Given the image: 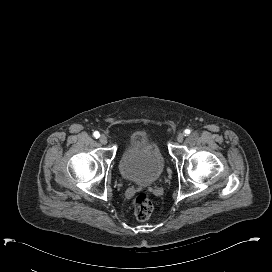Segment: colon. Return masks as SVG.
<instances>
[{
    "label": "colon",
    "mask_w": 272,
    "mask_h": 272,
    "mask_svg": "<svg viewBox=\"0 0 272 272\" xmlns=\"http://www.w3.org/2000/svg\"><path fill=\"white\" fill-rule=\"evenodd\" d=\"M153 207V201L146 192L137 194L133 200L134 214L139 220L148 219L152 214Z\"/></svg>",
    "instance_id": "colon-1"
}]
</instances>
